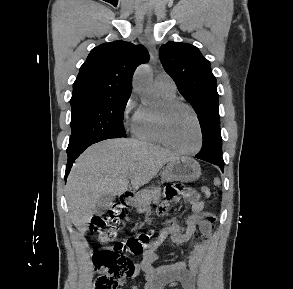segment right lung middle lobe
Listing matches in <instances>:
<instances>
[{"instance_id":"dd1d6c3e","label":"right lung middle lobe","mask_w":293,"mask_h":289,"mask_svg":"<svg viewBox=\"0 0 293 289\" xmlns=\"http://www.w3.org/2000/svg\"><path fill=\"white\" fill-rule=\"evenodd\" d=\"M128 98L129 95L70 101L72 133L68 147L95 141L103 136L126 137L123 115Z\"/></svg>"}]
</instances>
